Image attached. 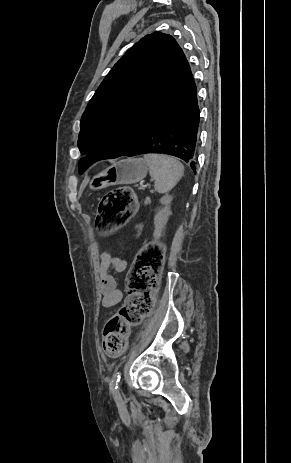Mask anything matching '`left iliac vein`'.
I'll return each mask as SVG.
<instances>
[{
	"instance_id": "obj_1",
	"label": "left iliac vein",
	"mask_w": 291,
	"mask_h": 463,
	"mask_svg": "<svg viewBox=\"0 0 291 463\" xmlns=\"http://www.w3.org/2000/svg\"><path fill=\"white\" fill-rule=\"evenodd\" d=\"M116 398H117L118 403H121L122 399H121V395L119 391H117L116 393Z\"/></svg>"
}]
</instances>
